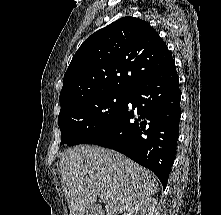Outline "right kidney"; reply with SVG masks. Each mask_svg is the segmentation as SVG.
I'll list each match as a JSON object with an SVG mask.
<instances>
[{
  "instance_id": "right-kidney-1",
  "label": "right kidney",
  "mask_w": 221,
  "mask_h": 215,
  "mask_svg": "<svg viewBox=\"0 0 221 215\" xmlns=\"http://www.w3.org/2000/svg\"><path fill=\"white\" fill-rule=\"evenodd\" d=\"M156 205V199L148 197L130 208L126 215H153Z\"/></svg>"
}]
</instances>
